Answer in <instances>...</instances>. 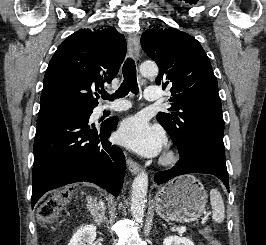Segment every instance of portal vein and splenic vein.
Instances as JSON below:
<instances>
[{"mask_svg":"<svg viewBox=\"0 0 266 245\" xmlns=\"http://www.w3.org/2000/svg\"><path fill=\"white\" fill-rule=\"evenodd\" d=\"M186 229L184 227V229H180V231H178V233H185Z\"/></svg>","mask_w":266,"mask_h":245,"instance_id":"portal-vein-and-splenic-vein-1","label":"portal vein and splenic vein"}]
</instances>
